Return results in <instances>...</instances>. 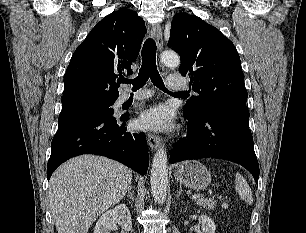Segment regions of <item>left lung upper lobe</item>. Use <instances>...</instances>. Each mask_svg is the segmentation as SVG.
<instances>
[{
	"mask_svg": "<svg viewBox=\"0 0 306 233\" xmlns=\"http://www.w3.org/2000/svg\"><path fill=\"white\" fill-rule=\"evenodd\" d=\"M168 46L180 55L179 72L190 76L198 96L184 106L186 118L228 108L246 111L247 90L239 54L234 44L214 26L195 15L173 17Z\"/></svg>",
	"mask_w": 306,
	"mask_h": 233,
	"instance_id": "1",
	"label": "left lung upper lobe"
}]
</instances>
